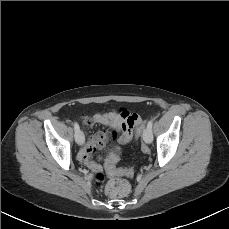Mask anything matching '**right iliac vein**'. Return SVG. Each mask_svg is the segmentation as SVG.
Returning <instances> with one entry per match:
<instances>
[{
	"instance_id": "obj_1",
	"label": "right iliac vein",
	"mask_w": 229,
	"mask_h": 229,
	"mask_svg": "<svg viewBox=\"0 0 229 229\" xmlns=\"http://www.w3.org/2000/svg\"><path fill=\"white\" fill-rule=\"evenodd\" d=\"M75 141L78 145H82L84 143V134L82 131L75 134Z\"/></svg>"
}]
</instances>
